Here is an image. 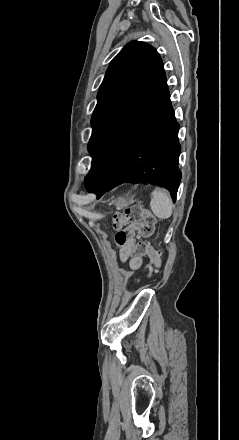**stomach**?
Returning <instances> with one entry per match:
<instances>
[{
    "label": "stomach",
    "mask_w": 239,
    "mask_h": 440,
    "mask_svg": "<svg viewBox=\"0 0 239 440\" xmlns=\"http://www.w3.org/2000/svg\"><path fill=\"white\" fill-rule=\"evenodd\" d=\"M111 204H114V206H116V210H124V208L130 206V204H133L132 196H128V194H125V196H121V198H116V200H113Z\"/></svg>",
    "instance_id": "obj_1"
}]
</instances>
